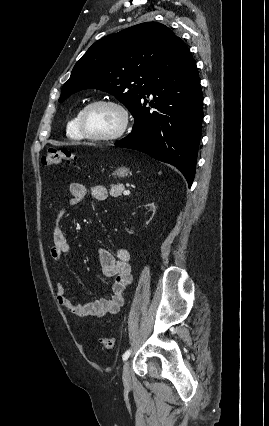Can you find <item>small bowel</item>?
I'll list each match as a JSON object with an SVG mask.
<instances>
[{
  "label": "small bowel",
  "instance_id": "obj_1",
  "mask_svg": "<svg viewBox=\"0 0 269 426\" xmlns=\"http://www.w3.org/2000/svg\"><path fill=\"white\" fill-rule=\"evenodd\" d=\"M87 188L74 182L69 187V197L66 199L57 215V226L53 230V245L50 255L55 262H61L64 255L71 250L66 234L60 223L67 211L77 207L85 198ZM91 196L96 201H104L108 197L106 187L96 185L90 189ZM101 272L107 278H113L108 296H102L94 301L78 302L66 295V287L62 282L55 286L57 304L67 312L88 317L101 318L108 314L120 312L124 305L123 292L132 281L131 254L126 248H118L114 253L106 248L99 249Z\"/></svg>",
  "mask_w": 269,
  "mask_h": 426
}]
</instances>
